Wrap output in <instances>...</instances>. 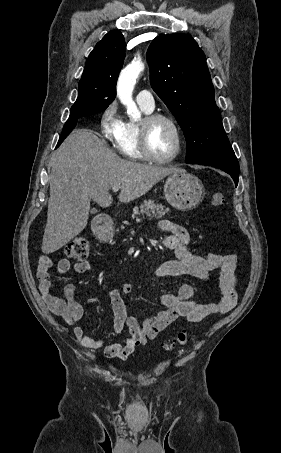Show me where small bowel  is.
Masks as SVG:
<instances>
[{"instance_id": "small-bowel-1", "label": "small bowel", "mask_w": 281, "mask_h": 453, "mask_svg": "<svg viewBox=\"0 0 281 453\" xmlns=\"http://www.w3.org/2000/svg\"><path fill=\"white\" fill-rule=\"evenodd\" d=\"M158 229L173 235V237L165 239V244L170 251L175 252L176 259L163 262L157 268V274L162 277H194L202 282L210 283L214 279L213 271L219 268V287L222 299L218 303L197 302L191 299L193 288L184 285L178 288L177 294L162 297L166 309L139 323L127 315L122 295L132 293L133 287L131 284L123 282L118 288L110 289L108 297L112 307L114 332L119 333L127 327L129 336L125 342L106 344L105 337L89 336L83 328L75 326L84 313V307L76 296L75 283L69 282L63 285L64 299L52 295L49 271L53 261L49 256L41 255L37 269L40 292L55 316L63 319L68 325L75 326L74 334L84 348L95 350L105 347L109 358L124 359L147 339L155 338L175 320L186 318L191 323H200L210 314H228L235 308L237 303V256L213 252L192 253L187 246L190 241V233L185 227L171 221H160ZM71 268L76 272L95 273V267L88 262L72 264L69 259H60L56 265V274L62 276Z\"/></svg>"}]
</instances>
